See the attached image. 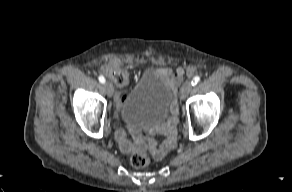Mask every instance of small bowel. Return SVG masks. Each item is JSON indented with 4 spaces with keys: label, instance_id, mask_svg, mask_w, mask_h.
Instances as JSON below:
<instances>
[{
    "label": "small bowel",
    "instance_id": "obj_1",
    "mask_svg": "<svg viewBox=\"0 0 292 192\" xmlns=\"http://www.w3.org/2000/svg\"><path fill=\"white\" fill-rule=\"evenodd\" d=\"M157 72L162 75L171 86L176 87L182 81L184 70L181 67L173 71L171 68H159ZM188 72L192 74L194 68L190 67ZM125 93L117 96V104L121 105ZM177 104L174 102L172 105L173 112H177ZM133 140L131 141L126 132L122 129L116 131V138L121 150L125 153H144L149 150L154 156H164L175 144V136L172 125H165L156 130L148 128L146 130L131 129ZM158 133L159 137L163 138L162 142L158 144L152 139L154 134Z\"/></svg>",
    "mask_w": 292,
    "mask_h": 192
}]
</instances>
